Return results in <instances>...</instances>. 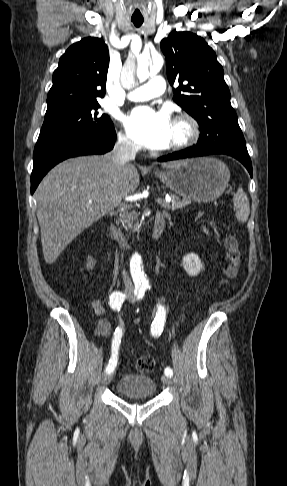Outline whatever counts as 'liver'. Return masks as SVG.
Segmentation results:
<instances>
[{"mask_svg":"<svg viewBox=\"0 0 287 486\" xmlns=\"http://www.w3.org/2000/svg\"><path fill=\"white\" fill-rule=\"evenodd\" d=\"M180 163L161 165L170 169ZM139 183L136 167L115 166L110 153L71 158L55 166L35 192L45 262L54 263L73 239L117 207Z\"/></svg>","mask_w":287,"mask_h":486,"instance_id":"obj_1","label":"liver"}]
</instances>
